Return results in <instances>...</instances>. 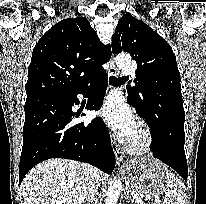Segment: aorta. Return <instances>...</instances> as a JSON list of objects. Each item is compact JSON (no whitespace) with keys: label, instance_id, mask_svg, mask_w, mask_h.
Returning a JSON list of instances; mask_svg holds the SVG:
<instances>
[{"label":"aorta","instance_id":"1","mask_svg":"<svg viewBox=\"0 0 206 204\" xmlns=\"http://www.w3.org/2000/svg\"><path fill=\"white\" fill-rule=\"evenodd\" d=\"M116 65L120 68H125L131 64V56L127 54H120L116 57ZM122 190L121 179L115 177L108 187L105 204H117L119 194Z\"/></svg>","mask_w":206,"mask_h":204}]
</instances>
